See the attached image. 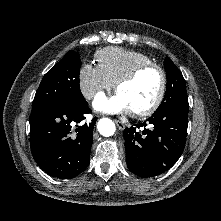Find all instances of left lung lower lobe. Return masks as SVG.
I'll list each match as a JSON object with an SVG mask.
<instances>
[{"label":"left lung lower lobe","mask_w":221,"mask_h":221,"mask_svg":"<svg viewBox=\"0 0 221 221\" xmlns=\"http://www.w3.org/2000/svg\"><path fill=\"white\" fill-rule=\"evenodd\" d=\"M188 100L154 112L145 122L123 131L129 170L153 177L171 168L181 156L187 136Z\"/></svg>","instance_id":"obj_1"}]
</instances>
